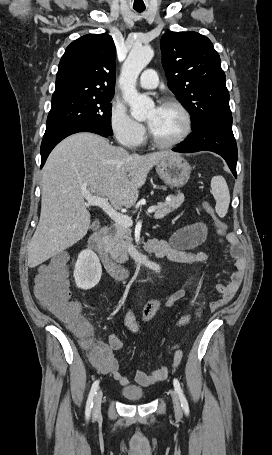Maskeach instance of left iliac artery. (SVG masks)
<instances>
[{
	"label": "left iliac artery",
	"instance_id": "1",
	"mask_svg": "<svg viewBox=\"0 0 272 455\" xmlns=\"http://www.w3.org/2000/svg\"><path fill=\"white\" fill-rule=\"evenodd\" d=\"M173 385H174V388H175L176 392L178 393V396H179V399H180V402H181V406H182L184 412L186 414H188L189 413L188 402L186 400L185 395L183 394V390L181 389V386H180V383H179L178 379L174 378Z\"/></svg>",
	"mask_w": 272,
	"mask_h": 455
}]
</instances>
